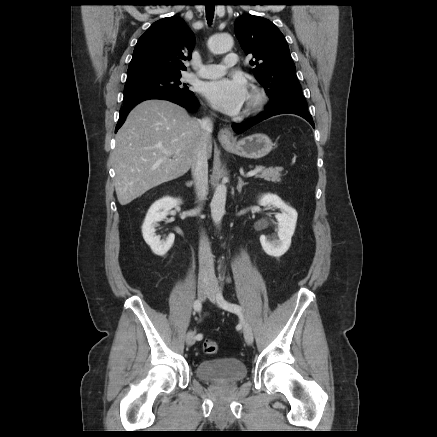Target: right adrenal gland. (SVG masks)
Listing matches in <instances>:
<instances>
[{"label": "right adrenal gland", "instance_id": "obj_1", "mask_svg": "<svg viewBox=\"0 0 437 437\" xmlns=\"http://www.w3.org/2000/svg\"><path fill=\"white\" fill-rule=\"evenodd\" d=\"M192 184H193L192 182H187V183H186V185H187L188 187H191Z\"/></svg>", "mask_w": 437, "mask_h": 437}]
</instances>
